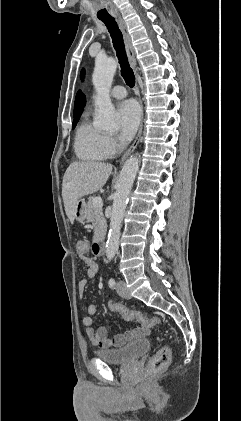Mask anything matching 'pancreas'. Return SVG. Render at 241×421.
Wrapping results in <instances>:
<instances>
[{"label":"pancreas","mask_w":241,"mask_h":421,"mask_svg":"<svg viewBox=\"0 0 241 421\" xmlns=\"http://www.w3.org/2000/svg\"><path fill=\"white\" fill-rule=\"evenodd\" d=\"M93 196H90L87 201V221L91 222L94 227V238H98L105 234L107 225L103 216L102 207H95L93 205Z\"/></svg>","instance_id":"1"}]
</instances>
